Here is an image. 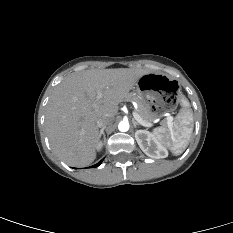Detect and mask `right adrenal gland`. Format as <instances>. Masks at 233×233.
<instances>
[{"instance_id": "obj_1", "label": "right adrenal gland", "mask_w": 233, "mask_h": 233, "mask_svg": "<svg viewBox=\"0 0 233 233\" xmlns=\"http://www.w3.org/2000/svg\"><path fill=\"white\" fill-rule=\"evenodd\" d=\"M100 135L103 136V140L105 141L106 137H105V134H104V128H102L100 130Z\"/></svg>"}]
</instances>
